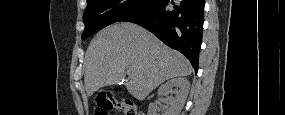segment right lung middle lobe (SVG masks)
<instances>
[{"mask_svg": "<svg viewBox=\"0 0 285 115\" xmlns=\"http://www.w3.org/2000/svg\"><path fill=\"white\" fill-rule=\"evenodd\" d=\"M156 0H88L83 15L85 30L82 39L88 38L104 27L121 22Z\"/></svg>", "mask_w": 285, "mask_h": 115, "instance_id": "dd1d6c3e", "label": "right lung middle lobe"}]
</instances>
